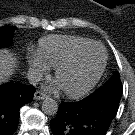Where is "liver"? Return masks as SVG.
Listing matches in <instances>:
<instances>
[{
    "mask_svg": "<svg viewBox=\"0 0 135 135\" xmlns=\"http://www.w3.org/2000/svg\"><path fill=\"white\" fill-rule=\"evenodd\" d=\"M15 59L8 50H0V84L5 82L13 73Z\"/></svg>",
    "mask_w": 135,
    "mask_h": 135,
    "instance_id": "1",
    "label": "liver"
}]
</instances>
